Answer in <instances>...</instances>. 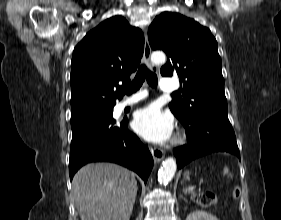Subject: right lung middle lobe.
<instances>
[{
  "instance_id": "obj_1",
  "label": "right lung middle lobe",
  "mask_w": 281,
  "mask_h": 220,
  "mask_svg": "<svg viewBox=\"0 0 281 220\" xmlns=\"http://www.w3.org/2000/svg\"><path fill=\"white\" fill-rule=\"evenodd\" d=\"M102 116H112V109L101 112V113H97V114H92L89 116H84V117H80V118H75V119H71V126L74 127L78 124L87 122V121H91V120H95L99 117Z\"/></svg>"
}]
</instances>
